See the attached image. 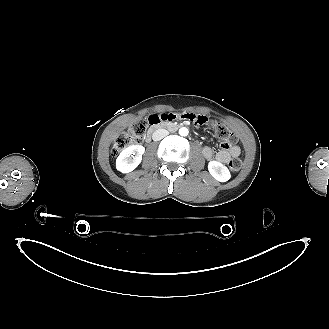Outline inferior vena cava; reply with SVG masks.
I'll return each instance as SVG.
<instances>
[{
    "label": "inferior vena cava",
    "instance_id": "1",
    "mask_svg": "<svg viewBox=\"0 0 329 329\" xmlns=\"http://www.w3.org/2000/svg\"><path fill=\"white\" fill-rule=\"evenodd\" d=\"M168 134H169V132L166 129H158L153 133L152 139L154 141H160L161 139L166 137Z\"/></svg>",
    "mask_w": 329,
    "mask_h": 329
}]
</instances>
